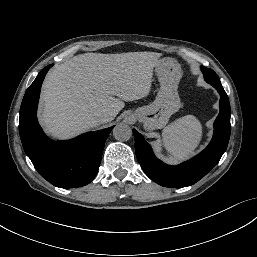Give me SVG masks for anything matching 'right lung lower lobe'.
<instances>
[{
    "label": "right lung lower lobe",
    "mask_w": 257,
    "mask_h": 257,
    "mask_svg": "<svg viewBox=\"0 0 257 257\" xmlns=\"http://www.w3.org/2000/svg\"><path fill=\"white\" fill-rule=\"evenodd\" d=\"M52 65L42 69L22 100L19 132L25 153L39 174L60 188L91 182L100 165L105 141L114 126L85 133L67 141H52L43 133L36 110L43 79Z\"/></svg>",
    "instance_id": "obj_1"
}]
</instances>
